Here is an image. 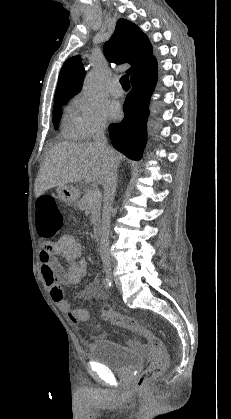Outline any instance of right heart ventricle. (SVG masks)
Returning a JSON list of instances; mask_svg holds the SVG:
<instances>
[{"label": "right heart ventricle", "mask_w": 231, "mask_h": 419, "mask_svg": "<svg viewBox=\"0 0 231 419\" xmlns=\"http://www.w3.org/2000/svg\"><path fill=\"white\" fill-rule=\"evenodd\" d=\"M63 135L69 139L78 138L71 119V109H68L64 117L63 126H62Z\"/></svg>", "instance_id": "e07e8e85"}]
</instances>
